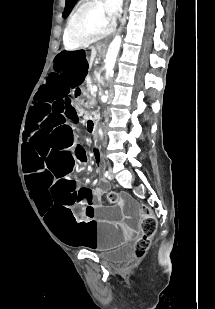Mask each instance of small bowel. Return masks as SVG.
<instances>
[{
  "label": "small bowel",
  "instance_id": "1",
  "mask_svg": "<svg viewBox=\"0 0 215 309\" xmlns=\"http://www.w3.org/2000/svg\"><path fill=\"white\" fill-rule=\"evenodd\" d=\"M105 191V186L101 187H95L94 189L91 190V194L95 200V202H100L101 196Z\"/></svg>",
  "mask_w": 215,
  "mask_h": 309
}]
</instances>
